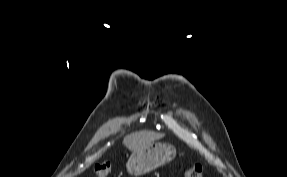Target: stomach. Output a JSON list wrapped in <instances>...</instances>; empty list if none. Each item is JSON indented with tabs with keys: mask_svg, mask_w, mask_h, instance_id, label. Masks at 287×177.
Segmentation results:
<instances>
[{
	"mask_svg": "<svg viewBox=\"0 0 287 177\" xmlns=\"http://www.w3.org/2000/svg\"><path fill=\"white\" fill-rule=\"evenodd\" d=\"M176 149L165 143H151L133 150L126 164L128 172L133 176H141L174 159Z\"/></svg>",
	"mask_w": 287,
	"mask_h": 177,
	"instance_id": "obj_1",
	"label": "stomach"
}]
</instances>
